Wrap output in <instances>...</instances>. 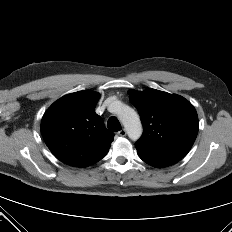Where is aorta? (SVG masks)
<instances>
[{
	"label": "aorta",
	"mask_w": 232,
	"mask_h": 232,
	"mask_svg": "<svg viewBox=\"0 0 232 232\" xmlns=\"http://www.w3.org/2000/svg\"><path fill=\"white\" fill-rule=\"evenodd\" d=\"M114 112L124 125L130 139L136 141L142 135V124L139 115L131 107L117 101L113 104Z\"/></svg>",
	"instance_id": "762f6f07"
}]
</instances>
